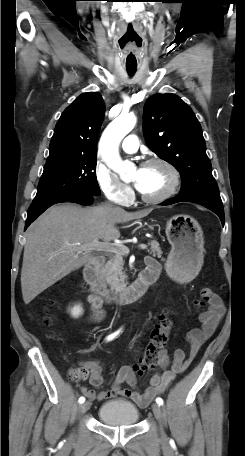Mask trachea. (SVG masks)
I'll return each instance as SVG.
<instances>
[{
  "label": "trachea",
  "instance_id": "3493384b",
  "mask_svg": "<svg viewBox=\"0 0 245 456\" xmlns=\"http://www.w3.org/2000/svg\"><path fill=\"white\" fill-rule=\"evenodd\" d=\"M126 68H127V71L129 73V75H133L135 73V71H136V67L127 66Z\"/></svg>",
  "mask_w": 245,
  "mask_h": 456
}]
</instances>
